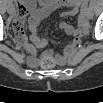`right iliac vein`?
<instances>
[{
    "label": "right iliac vein",
    "instance_id": "right-iliac-vein-1",
    "mask_svg": "<svg viewBox=\"0 0 103 103\" xmlns=\"http://www.w3.org/2000/svg\"><path fill=\"white\" fill-rule=\"evenodd\" d=\"M7 11H8L9 14H12V13H13V9H12V8H8Z\"/></svg>",
    "mask_w": 103,
    "mask_h": 103
}]
</instances>
